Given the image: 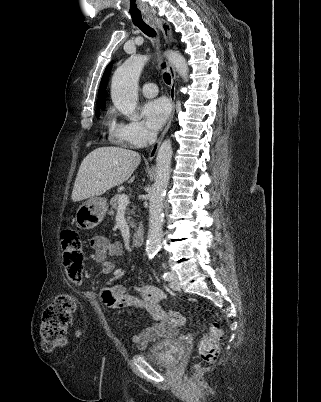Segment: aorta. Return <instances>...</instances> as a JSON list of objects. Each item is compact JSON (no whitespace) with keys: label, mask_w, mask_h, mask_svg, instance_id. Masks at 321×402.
<instances>
[{"label":"aorta","mask_w":321,"mask_h":402,"mask_svg":"<svg viewBox=\"0 0 321 402\" xmlns=\"http://www.w3.org/2000/svg\"><path fill=\"white\" fill-rule=\"evenodd\" d=\"M176 72L188 79L186 59L177 51L165 53ZM147 55L129 57L114 73L111 84V98L114 106L130 119H135L138 101V80L147 63ZM172 142L163 141L156 157V178L149 194V230L146 242V254L152 259L158 252L162 241L163 199L170 179Z\"/></svg>","instance_id":"762f6f07"}]
</instances>
